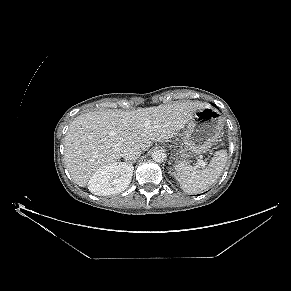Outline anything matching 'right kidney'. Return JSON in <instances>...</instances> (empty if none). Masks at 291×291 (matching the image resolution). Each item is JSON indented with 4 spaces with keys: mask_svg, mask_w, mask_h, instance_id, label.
Returning <instances> with one entry per match:
<instances>
[{
    "mask_svg": "<svg viewBox=\"0 0 291 291\" xmlns=\"http://www.w3.org/2000/svg\"><path fill=\"white\" fill-rule=\"evenodd\" d=\"M133 166L115 162L96 170L88 182L92 194L106 196L124 191L131 182Z\"/></svg>",
    "mask_w": 291,
    "mask_h": 291,
    "instance_id": "right-kidney-1",
    "label": "right kidney"
}]
</instances>
